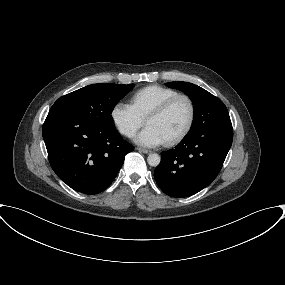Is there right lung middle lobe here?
Masks as SVG:
<instances>
[{
	"instance_id": "dd1d6c3e",
	"label": "right lung middle lobe",
	"mask_w": 285,
	"mask_h": 285,
	"mask_svg": "<svg viewBox=\"0 0 285 285\" xmlns=\"http://www.w3.org/2000/svg\"><path fill=\"white\" fill-rule=\"evenodd\" d=\"M134 84H93L60 97L51 108L69 110L103 128H114L111 113Z\"/></svg>"
}]
</instances>
